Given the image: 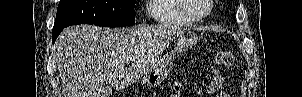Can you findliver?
Masks as SVG:
<instances>
[{"label": "liver", "instance_id": "6515ba94", "mask_svg": "<svg viewBox=\"0 0 302 97\" xmlns=\"http://www.w3.org/2000/svg\"><path fill=\"white\" fill-rule=\"evenodd\" d=\"M184 31L169 25L110 30L83 24L64 29L54 45L63 97H100L104 82L117 90L128 87Z\"/></svg>", "mask_w": 302, "mask_h": 97}]
</instances>
